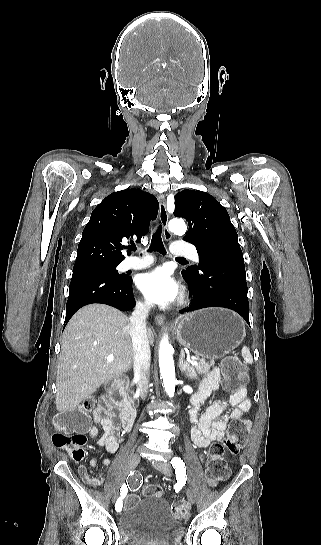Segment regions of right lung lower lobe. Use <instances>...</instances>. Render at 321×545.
I'll use <instances>...</instances> for the list:
<instances>
[{"instance_id":"right-lung-lower-lobe-1","label":"right lung lower lobe","mask_w":321,"mask_h":545,"mask_svg":"<svg viewBox=\"0 0 321 545\" xmlns=\"http://www.w3.org/2000/svg\"><path fill=\"white\" fill-rule=\"evenodd\" d=\"M131 285L132 278L126 274L115 277L90 269L73 271L65 323L78 309L92 303L107 304L121 311L131 310L135 306Z\"/></svg>"}]
</instances>
